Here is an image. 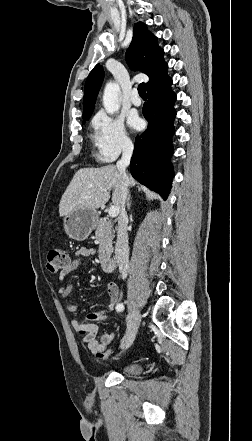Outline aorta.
I'll return each instance as SVG.
<instances>
[{
	"label": "aorta",
	"mask_w": 252,
	"mask_h": 441,
	"mask_svg": "<svg viewBox=\"0 0 252 441\" xmlns=\"http://www.w3.org/2000/svg\"><path fill=\"white\" fill-rule=\"evenodd\" d=\"M119 92L120 87L116 82L110 81L106 84L103 92V106L108 114H114L119 110Z\"/></svg>",
	"instance_id": "obj_1"
}]
</instances>
